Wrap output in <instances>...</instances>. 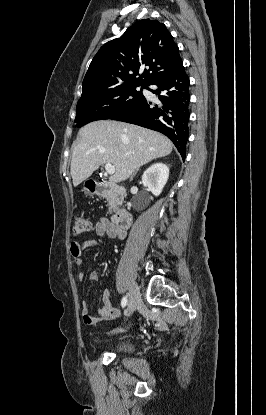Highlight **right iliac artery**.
<instances>
[{"mask_svg":"<svg viewBox=\"0 0 266 415\" xmlns=\"http://www.w3.org/2000/svg\"><path fill=\"white\" fill-rule=\"evenodd\" d=\"M127 296H124L123 298H122V301H121V306H122V308H124L126 305H127Z\"/></svg>","mask_w":266,"mask_h":415,"instance_id":"1","label":"right iliac artery"}]
</instances>
